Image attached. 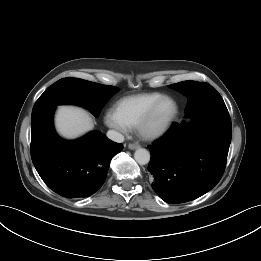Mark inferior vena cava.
<instances>
[{
  "label": "inferior vena cava",
  "instance_id": "602c4592",
  "mask_svg": "<svg viewBox=\"0 0 261 261\" xmlns=\"http://www.w3.org/2000/svg\"><path fill=\"white\" fill-rule=\"evenodd\" d=\"M107 137L110 140L117 142V143H122L124 141V136L115 130H109L107 132Z\"/></svg>",
  "mask_w": 261,
  "mask_h": 261
}]
</instances>
